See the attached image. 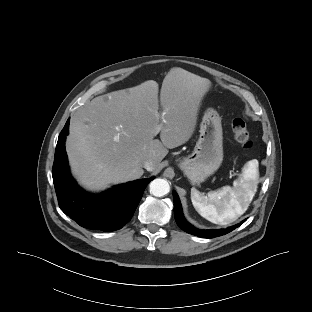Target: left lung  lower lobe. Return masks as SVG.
<instances>
[{
  "label": "left lung lower lobe",
  "instance_id": "1",
  "mask_svg": "<svg viewBox=\"0 0 312 312\" xmlns=\"http://www.w3.org/2000/svg\"><path fill=\"white\" fill-rule=\"evenodd\" d=\"M173 199H174V215L176 222L178 226L193 235L203 237V238H214L218 236L225 235L232 230H234L236 227H239L241 224H243L246 220L242 221L241 223L226 228V229H219V230H203V229H197L194 226H192L187 220L184 218L183 213H182V208H181V203L179 200V197L176 192H173Z\"/></svg>",
  "mask_w": 312,
  "mask_h": 312
}]
</instances>
